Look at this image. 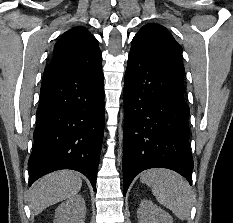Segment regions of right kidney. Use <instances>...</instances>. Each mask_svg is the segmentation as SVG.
Listing matches in <instances>:
<instances>
[{"label":"right kidney","instance_id":"obj_1","mask_svg":"<svg viewBox=\"0 0 233 223\" xmlns=\"http://www.w3.org/2000/svg\"><path fill=\"white\" fill-rule=\"evenodd\" d=\"M86 205L82 195H72L55 209L53 223H85Z\"/></svg>","mask_w":233,"mask_h":223}]
</instances>
